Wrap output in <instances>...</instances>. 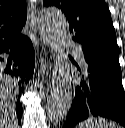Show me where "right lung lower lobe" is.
<instances>
[{"instance_id": "1", "label": "right lung lower lobe", "mask_w": 125, "mask_h": 128, "mask_svg": "<svg viewBox=\"0 0 125 128\" xmlns=\"http://www.w3.org/2000/svg\"><path fill=\"white\" fill-rule=\"evenodd\" d=\"M5 54L9 55L8 64L0 66V71L13 79V86H18L21 93L23 92V84L27 83L34 72L35 52L32 42L27 36H22L14 42L1 46L0 63L4 61L2 56ZM15 110L18 123H20L23 110L18 101Z\"/></svg>"}]
</instances>
